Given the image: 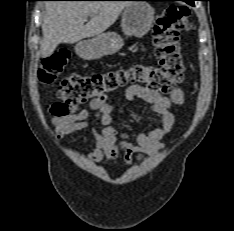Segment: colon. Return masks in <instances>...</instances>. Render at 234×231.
<instances>
[{
  "mask_svg": "<svg viewBox=\"0 0 234 231\" xmlns=\"http://www.w3.org/2000/svg\"><path fill=\"white\" fill-rule=\"evenodd\" d=\"M190 10L186 5H170L153 26V45L159 59L157 66L137 64L129 69L96 73L72 74L58 86L60 112L73 113L80 105L111 94L129 83L167 94L183 81L185 61L179 42L180 32L188 26ZM62 51L46 58L39 72L41 81L49 82L62 71L68 59Z\"/></svg>",
  "mask_w": 234,
  "mask_h": 231,
  "instance_id": "colon-1",
  "label": "colon"
}]
</instances>
